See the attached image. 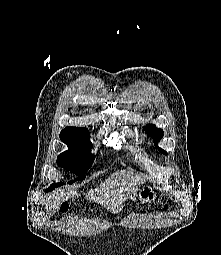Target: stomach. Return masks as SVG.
Returning <instances> with one entry per match:
<instances>
[{
	"label": "stomach",
	"instance_id": "obj_1",
	"mask_svg": "<svg viewBox=\"0 0 221 255\" xmlns=\"http://www.w3.org/2000/svg\"><path fill=\"white\" fill-rule=\"evenodd\" d=\"M157 193L150 185L143 186L138 193V200L143 204H151L155 201Z\"/></svg>",
	"mask_w": 221,
	"mask_h": 255
}]
</instances>
